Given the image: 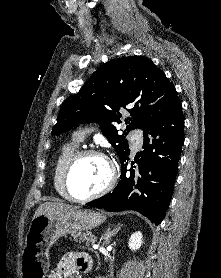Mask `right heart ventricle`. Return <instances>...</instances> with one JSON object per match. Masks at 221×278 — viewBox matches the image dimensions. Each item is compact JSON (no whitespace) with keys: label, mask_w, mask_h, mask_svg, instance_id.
Instances as JSON below:
<instances>
[{"label":"right heart ventricle","mask_w":221,"mask_h":278,"mask_svg":"<svg viewBox=\"0 0 221 278\" xmlns=\"http://www.w3.org/2000/svg\"><path fill=\"white\" fill-rule=\"evenodd\" d=\"M79 143L80 141L74 138L72 141L64 144L58 154L54 166L53 185L57 193L65 199L67 196L62 186V174L68 160L78 151Z\"/></svg>","instance_id":"obj_1"}]
</instances>
